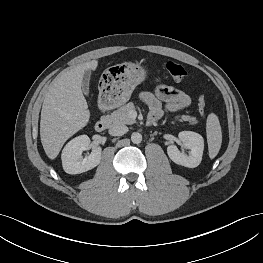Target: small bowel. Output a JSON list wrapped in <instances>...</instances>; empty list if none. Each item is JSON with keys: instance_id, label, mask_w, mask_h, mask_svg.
I'll return each mask as SVG.
<instances>
[{"instance_id": "obj_1", "label": "small bowel", "mask_w": 263, "mask_h": 263, "mask_svg": "<svg viewBox=\"0 0 263 263\" xmlns=\"http://www.w3.org/2000/svg\"><path fill=\"white\" fill-rule=\"evenodd\" d=\"M140 98L150 108L149 120L160 119L166 112L175 113L190 104V97L186 92L178 91L169 86H161L156 93L142 92Z\"/></svg>"}]
</instances>
